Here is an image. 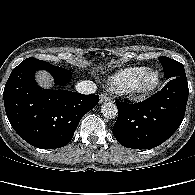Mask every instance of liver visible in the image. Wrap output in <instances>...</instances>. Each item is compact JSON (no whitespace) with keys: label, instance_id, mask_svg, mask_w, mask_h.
I'll use <instances>...</instances> for the list:
<instances>
[{"label":"liver","instance_id":"liver-1","mask_svg":"<svg viewBox=\"0 0 195 195\" xmlns=\"http://www.w3.org/2000/svg\"><path fill=\"white\" fill-rule=\"evenodd\" d=\"M37 81L38 83L45 87V88H49L50 87V81H51V77L48 73L46 72H40L38 75H37Z\"/></svg>","mask_w":195,"mask_h":195}]
</instances>
